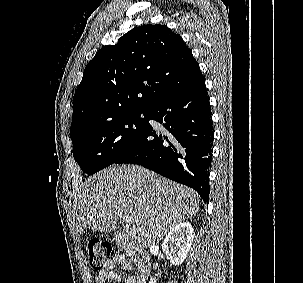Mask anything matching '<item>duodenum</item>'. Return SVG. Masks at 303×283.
I'll use <instances>...</instances> for the list:
<instances>
[{
  "instance_id": "duodenum-1",
  "label": "duodenum",
  "mask_w": 303,
  "mask_h": 283,
  "mask_svg": "<svg viewBox=\"0 0 303 283\" xmlns=\"http://www.w3.org/2000/svg\"><path fill=\"white\" fill-rule=\"evenodd\" d=\"M118 244L122 249L130 252L131 257L138 266L139 283H145L151 264L148 254L143 250L132 248L127 242V235L125 233L118 234Z\"/></svg>"
}]
</instances>
